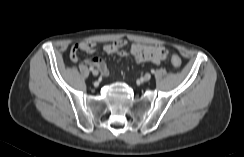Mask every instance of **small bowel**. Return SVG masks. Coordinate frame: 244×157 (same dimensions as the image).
I'll use <instances>...</instances> for the list:
<instances>
[{"label":"small bowel","mask_w":244,"mask_h":157,"mask_svg":"<svg viewBox=\"0 0 244 157\" xmlns=\"http://www.w3.org/2000/svg\"><path fill=\"white\" fill-rule=\"evenodd\" d=\"M128 41L126 39H118L110 43L102 45V50L107 54H118L122 57L132 56L137 63L152 62L156 65L161 64L168 58V50L159 45H142L139 43L132 44L126 48ZM98 44L93 41H82L76 43L71 49V60L76 62L78 60V52L85 51L93 53ZM88 65L98 68L105 76L109 75V70L105 61L100 57H92L85 61Z\"/></svg>","instance_id":"c3829d8e"}]
</instances>
